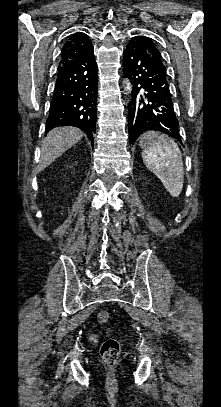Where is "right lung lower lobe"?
Wrapping results in <instances>:
<instances>
[{
    "instance_id": "1",
    "label": "right lung lower lobe",
    "mask_w": 221,
    "mask_h": 407,
    "mask_svg": "<svg viewBox=\"0 0 221 407\" xmlns=\"http://www.w3.org/2000/svg\"><path fill=\"white\" fill-rule=\"evenodd\" d=\"M97 88V64L91 43L83 55L58 67L46 133L57 126H75L82 129L93 144Z\"/></svg>"
}]
</instances>
